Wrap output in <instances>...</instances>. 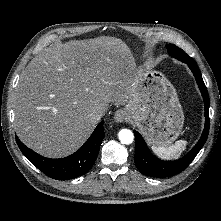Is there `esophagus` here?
I'll use <instances>...</instances> for the list:
<instances>
[{"instance_id":"1","label":"esophagus","mask_w":221,"mask_h":221,"mask_svg":"<svg viewBox=\"0 0 221 221\" xmlns=\"http://www.w3.org/2000/svg\"><path fill=\"white\" fill-rule=\"evenodd\" d=\"M128 119V113L125 109H119L114 114V120L117 123L124 122Z\"/></svg>"}]
</instances>
